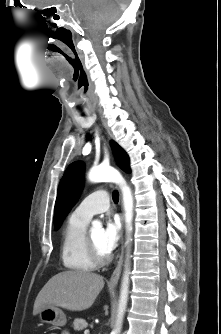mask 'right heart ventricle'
<instances>
[{"label":"right heart ventricle","mask_w":221,"mask_h":334,"mask_svg":"<svg viewBox=\"0 0 221 334\" xmlns=\"http://www.w3.org/2000/svg\"><path fill=\"white\" fill-rule=\"evenodd\" d=\"M87 224L88 221L78 218L72 213L62 232L61 259L63 265L74 272H91L97 266L86 247Z\"/></svg>","instance_id":"right-heart-ventricle-1"}]
</instances>
